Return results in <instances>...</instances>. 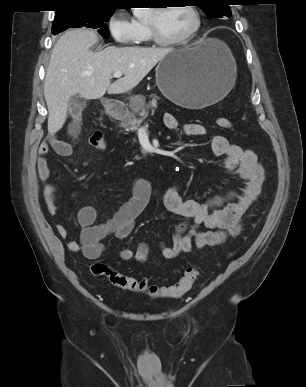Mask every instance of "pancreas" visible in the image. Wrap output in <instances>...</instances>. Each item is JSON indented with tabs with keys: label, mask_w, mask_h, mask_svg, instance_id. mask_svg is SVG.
Wrapping results in <instances>:
<instances>
[{
	"label": "pancreas",
	"mask_w": 306,
	"mask_h": 387,
	"mask_svg": "<svg viewBox=\"0 0 306 387\" xmlns=\"http://www.w3.org/2000/svg\"><path fill=\"white\" fill-rule=\"evenodd\" d=\"M130 101L132 109L138 112L140 117L136 118L134 115H129L122 120V126L131 131H136L144 119L148 117V109L154 112L157 108V97L154 96L148 104L145 103V97L143 95L133 96Z\"/></svg>",
	"instance_id": "pancreas-1"
}]
</instances>
